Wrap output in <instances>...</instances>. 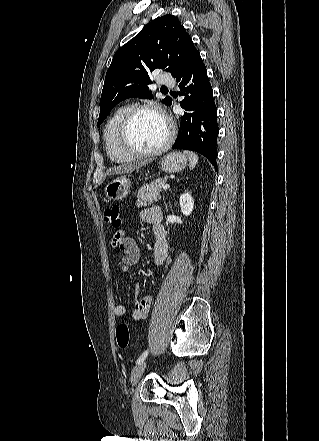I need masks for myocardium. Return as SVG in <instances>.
I'll return each instance as SVG.
<instances>
[{"label": "myocardium", "mask_w": 319, "mask_h": 441, "mask_svg": "<svg viewBox=\"0 0 319 441\" xmlns=\"http://www.w3.org/2000/svg\"><path fill=\"white\" fill-rule=\"evenodd\" d=\"M141 111H152L157 113L164 120L167 126L166 139L159 147L151 151L137 150L133 148L127 140V133L131 125V122L136 116V114H138ZM175 134H176L175 124L173 123L169 115L161 107L152 103H141L131 106L123 116L118 128L117 142L120 149L129 156L134 158H147V157L157 156L165 152L173 143Z\"/></svg>", "instance_id": "myocardium-1"}]
</instances>
